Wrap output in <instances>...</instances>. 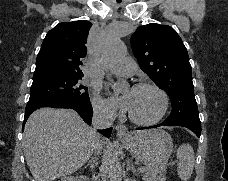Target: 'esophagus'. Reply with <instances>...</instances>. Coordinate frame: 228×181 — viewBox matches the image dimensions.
Here are the masks:
<instances>
[{"label": "esophagus", "instance_id": "esophagus-1", "mask_svg": "<svg viewBox=\"0 0 228 181\" xmlns=\"http://www.w3.org/2000/svg\"><path fill=\"white\" fill-rule=\"evenodd\" d=\"M116 132L118 137H127L129 136V131L126 126L122 125H117L116 126Z\"/></svg>", "mask_w": 228, "mask_h": 181}]
</instances>
